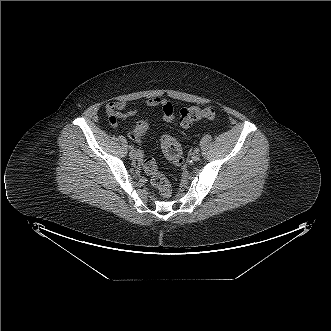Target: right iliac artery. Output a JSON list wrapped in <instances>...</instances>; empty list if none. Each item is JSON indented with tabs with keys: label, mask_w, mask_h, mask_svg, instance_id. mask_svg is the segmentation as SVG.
Here are the masks:
<instances>
[{
	"label": "right iliac artery",
	"mask_w": 331,
	"mask_h": 331,
	"mask_svg": "<svg viewBox=\"0 0 331 331\" xmlns=\"http://www.w3.org/2000/svg\"><path fill=\"white\" fill-rule=\"evenodd\" d=\"M129 149H130L131 151H134V146H133L132 144H130V145H129Z\"/></svg>",
	"instance_id": "right-iliac-artery-1"
}]
</instances>
